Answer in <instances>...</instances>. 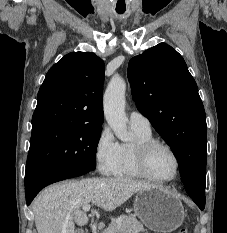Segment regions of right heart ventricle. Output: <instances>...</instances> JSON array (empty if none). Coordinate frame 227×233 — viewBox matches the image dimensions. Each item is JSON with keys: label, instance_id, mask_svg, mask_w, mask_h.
Instances as JSON below:
<instances>
[{"label": "right heart ventricle", "instance_id": "1", "mask_svg": "<svg viewBox=\"0 0 227 233\" xmlns=\"http://www.w3.org/2000/svg\"><path fill=\"white\" fill-rule=\"evenodd\" d=\"M136 134L135 144L121 145V161L118 171L115 175L123 177L141 178L142 174L137 169L134 158V147L139 142L154 140L152 132H144L141 130L133 129Z\"/></svg>", "mask_w": 227, "mask_h": 233}]
</instances>
